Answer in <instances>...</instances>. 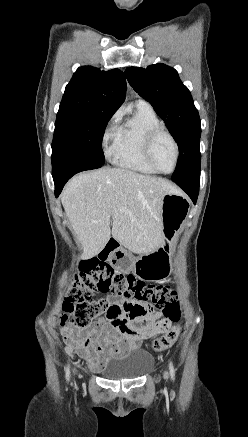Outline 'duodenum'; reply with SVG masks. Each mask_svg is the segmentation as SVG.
I'll return each instance as SVG.
<instances>
[{
  "label": "duodenum",
  "instance_id": "1",
  "mask_svg": "<svg viewBox=\"0 0 248 437\" xmlns=\"http://www.w3.org/2000/svg\"><path fill=\"white\" fill-rule=\"evenodd\" d=\"M120 244L116 238L111 237L106 245L105 248H101L99 250V255L101 257H113L115 255V252L119 248Z\"/></svg>",
  "mask_w": 248,
  "mask_h": 437
}]
</instances>
